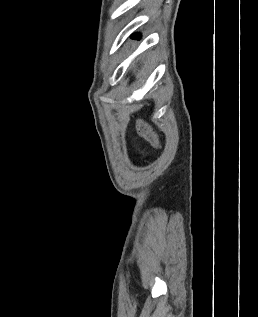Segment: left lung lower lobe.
I'll return each mask as SVG.
<instances>
[{
    "mask_svg": "<svg viewBox=\"0 0 258 317\" xmlns=\"http://www.w3.org/2000/svg\"><path fill=\"white\" fill-rule=\"evenodd\" d=\"M132 39H139V35L138 34H134L131 36Z\"/></svg>",
    "mask_w": 258,
    "mask_h": 317,
    "instance_id": "1",
    "label": "left lung lower lobe"
}]
</instances>
